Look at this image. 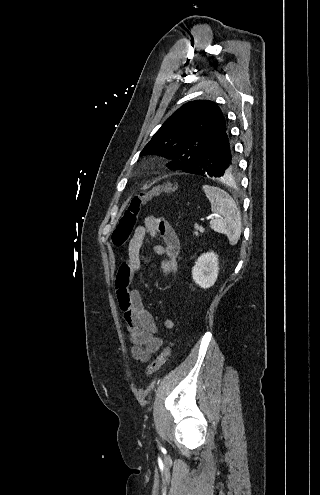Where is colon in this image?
<instances>
[{
    "mask_svg": "<svg viewBox=\"0 0 320 495\" xmlns=\"http://www.w3.org/2000/svg\"><path fill=\"white\" fill-rule=\"evenodd\" d=\"M176 187L172 184H163L152 188L150 191L141 193L133 197L117 226L112 233V241L117 246H123L130 238L131 232L135 226L137 217L142 207L150 201L154 196L166 192H175ZM172 342H169L161 353L147 367L146 376L150 377L156 373L168 359L171 353Z\"/></svg>",
    "mask_w": 320,
    "mask_h": 495,
    "instance_id": "5ec220e1",
    "label": "colon"
}]
</instances>
